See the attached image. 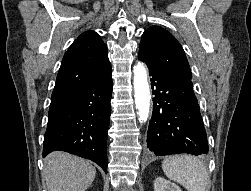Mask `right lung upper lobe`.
<instances>
[{"instance_id":"obj_1","label":"right lung upper lobe","mask_w":251,"mask_h":191,"mask_svg":"<svg viewBox=\"0 0 251 191\" xmlns=\"http://www.w3.org/2000/svg\"><path fill=\"white\" fill-rule=\"evenodd\" d=\"M111 75L107 46L94 31L82 33L65 53L51 100L71 95Z\"/></svg>"}]
</instances>
